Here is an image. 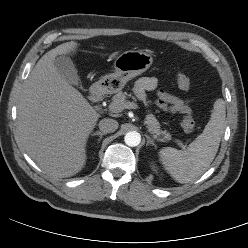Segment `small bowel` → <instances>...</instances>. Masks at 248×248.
I'll return each instance as SVG.
<instances>
[{
	"label": "small bowel",
	"mask_w": 248,
	"mask_h": 248,
	"mask_svg": "<svg viewBox=\"0 0 248 248\" xmlns=\"http://www.w3.org/2000/svg\"><path fill=\"white\" fill-rule=\"evenodd\" d=\"M158 81L153 76L141 77L137 80L134 86L136 96L144 101L146 100V93L153 91L157 88ZM156 105L165 112L189 114L191 109L188 101L181 99L166 91L160 90L157 93Z\"/></svg>",
	"instance_id": "c3829d8e"
}]
</instances>
